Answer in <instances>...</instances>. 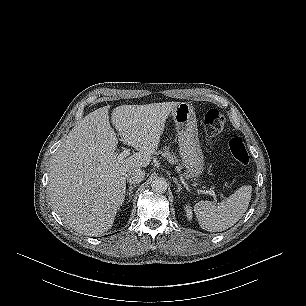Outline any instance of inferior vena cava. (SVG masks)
I'll list each match as a JSON object with an SVG mask.
<instances>
[{
	"mask_svg": "<svg viewBox=\"0 0 306 306\" xmlns=\"http://www.w3.org/2000/svg\"><path fill=\"white\" fill-rule=\"evenodd\" d=\"M145 177V171L142 170L141 168H137L134 170H131L128 174H127V181L130 184H139L140 182L143 181Z\"/></svg>",
	"mask_w": 306,
	"mask_h": 306,
	"instance_id": "obj_1",
	"label": "inferior vena cava"
}]
</instances>
